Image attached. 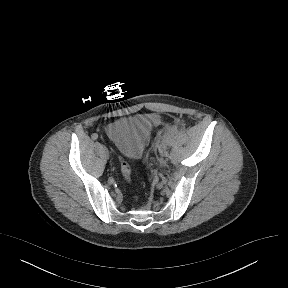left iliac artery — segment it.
<instances>
[{"label":"left iliac artery","instance_id":"left-iliac-artery-1","mask_svg":"<svg viewBox=\"0 0 288 288\" xmlns=\"http://www.w3.org/2000/svg\"><path fill=\"white\" fill-rule=\"evenodd\" d=\"M170 139V134H167L164 136V142L168 141Z\"/></svg>","mask_w":288,"mask_h":288}]
</instances>
